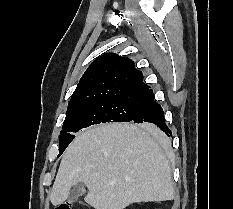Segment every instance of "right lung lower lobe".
Segmentation results:
<instances>
[{
  "label": "right lung lower lobe",
  "instance_id": "1",
  "mask_svg": "<svg viewBox=\"0 0 233 209\" xmlns=\"http://www.w3.org/2000/svg\"><path fill=\"white\" fill-rule=\"evenodd\" d=\"M132 122L143 124L150 128L159 127L167 136H172L170 129L165 124L163 109L155 100L142 107L132 119Z\"/></svg>",
  "mask_w": 233,
  "mask_h": 209
}]
</instances>
